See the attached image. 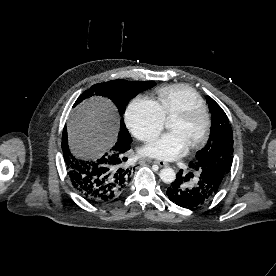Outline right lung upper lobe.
Returning a JSON list of instances; mask_svg holds the SVG:
<instances>
[{
	"label": "right lung upper lobe",
	"instance_id": "right-lung-upper-lobe-1",
	"mask_svg": "<svg viewBox=\"0 0 276 276\" xmlns=\"http://www.w3.org/2000/svg\"><path fill=\"white\" fill-rule=\"evenodd\" d=\"M118 142H119V143H124L125 141H119V140H118Z\"/></svg>",
	"mask_w": 276,
	"mask_h": 276
}]
</instances>
